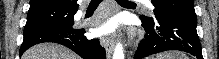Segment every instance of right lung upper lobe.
Returning <instances> with one entry per match:
<instances>
[{
  "label": "right lung upper lobe",
  "mask_w": 219,
  "mask_h": 59,
  "mask_svg": "<svg viewBox=\"0 0 219 59\" xmlns=\"http://www.w3.org/2000/svg\"><path fill=\"white\" fill-rule=\"evenodd\" d=\"M78 7L77 0H30V9L28 12L47 9L76 11Z\"/></svg>",
  "instance_id": "obj_1"
}]
</instances>
